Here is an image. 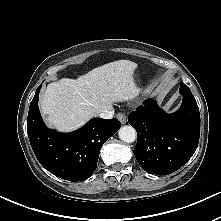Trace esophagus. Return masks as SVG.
Listing matches in <instances>:
<instances>
[{
  "label": "esophagus",
  "mask_w": 221,
  "mask_h": 221,
  "mask_svg": "<svg viewBox=\"0 0 221 221\" xmlns=\"http://www.w3.org/2000/svg\"><path fill=\"white\" fill-rule=\"evenodd\" d=\"M117 119L120 121L121 124H125L127 122V118H126V115L122 112H119L117 115H116Z\"/></svg>",
  "instance_id": "34e87169"
}]
</instances>
